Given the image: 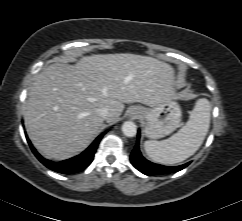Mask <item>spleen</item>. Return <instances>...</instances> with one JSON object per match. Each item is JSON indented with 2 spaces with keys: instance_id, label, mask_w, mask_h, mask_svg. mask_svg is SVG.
Here are the masks:
<instances>
[{
  "instance_id": "1",
  "label": "spleen",
  "mask_w": 242,
  "mask_h": 221,
  "mask_svg": "<svg viewBox=\"0 0 242 221\" xmlns=\"http://www.w3.org/2000/svg\"><path fill=\"white\" fill-rule=\"evenodd\" d=\"M210 111V102L205 98L198 99L186 124L166 140L145 141V152L154 162L164 165L186 160L196 153L208 133Z\"/></svg>"
}]
</instances>
